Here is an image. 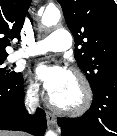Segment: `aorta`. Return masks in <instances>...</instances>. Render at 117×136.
I'll use <instances>...</instances> for the list:
<instances>
[{
    "label": "aorta",
    "mask_w": 117,
    "mask_h": 136,
    "mask_svg": "<svg viewBox=\"0 0 117 136\" xmlns=\"http://www.w3.org/2000/svg\"><path fill=\"white\" fill-rule=\"evenodd\" d=\"M61 14L57 8H46L41 22L44 26L49 27L55 25L60 20ZM45 136H57V134L51 130L45 133Z\"/></svg>",
    "instance_id": "762f6f07"
}]
</instances>
